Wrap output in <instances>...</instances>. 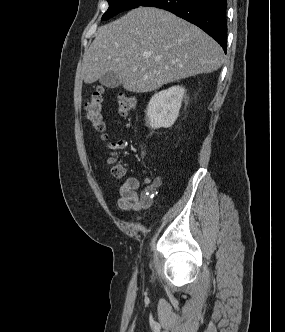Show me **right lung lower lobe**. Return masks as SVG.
I'll return each instance as SVG.
<instances>
[{
    "mask_svg": "<svg viewBox=\"0 0 285 332\" xmlns=\"http://www.w3.org/2000/svg\"><path fill=\"white\" fill-rule=\"evenodd\" d=\"M141 6L165 9L195 24L226 52V0H146Z\"/></svg>",
    "mask_w": 285,
    "mask_h": 332,
    "instance_id": "98d812e1",
    "label": "right lung lower lobe"
}]
</instances>
